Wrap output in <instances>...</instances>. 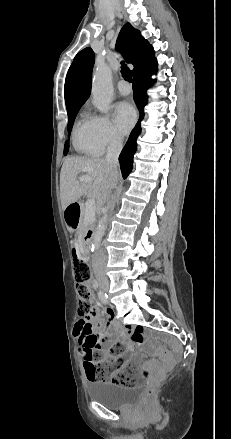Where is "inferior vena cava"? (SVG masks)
Instances as JSON below:
<instances>
[{"mask_svg": "<svg viewBox=\"0 0 231 439\" xmlns=\"http://www.w3.org/2000/svg\"><path fill=\"white\" fill-rule=\"evenodd\" d=\"M122 139L115 135L112 139L111 142L108 146L107 149V154H106V159L105 161L108 163V165L110 166V168L112 169L113 173L115 174V176H118V166H119V154L122 150ZM107 257L104 253L103 250H99V252L96 255V260L94 262V271L97 275L101 276L102 278H104L105 280H107L103 269L106 263Z\"/></svg>", "mask_w": 231, "mask_h": 439, "instance_id": "inferior-vena-cava-1", "label": "inferior vena cava"}]
</instances>
